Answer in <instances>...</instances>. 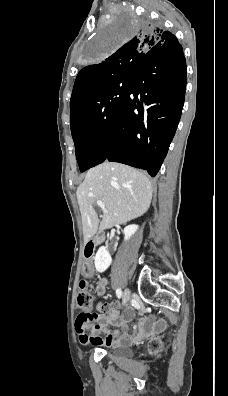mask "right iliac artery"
<instances>
[{
    "label": "right iliac artery",
    "mask_w": 228,
    "mask_h": 396,
    "mask_svg": "<svg viewBox=\"0 0 228 396\" xmlns=\"http://www.w3.org/2000/svg\"><path fill=\"white\" fill-rule=\"evenodd\" d=\"M116 295H117L118 298H121V297H122V291H121L120 288H118V289L116 290Z\"/></svg>",
    "instance_id": "82829eb1"
}]
</instances>
